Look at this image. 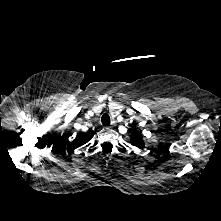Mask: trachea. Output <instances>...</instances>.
Here are the masks:
<instances>
[{
    "label": "trachea",
    "mask_w": 221,
    "mask_h": 221,
    "mask_svg": "<svg viewBox=\"0 0 221 221\" xmlns=\"http://www.w3.org/2000/svg\"><path fill=\"white\" fill-rule=\"evenodd\" d=\"M101 122L104 126L110 125V117L107 113L103 114Z\"/></svg>",
    "instance_id": "obj_1"
}]
</instances>
